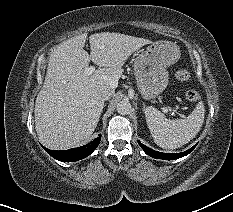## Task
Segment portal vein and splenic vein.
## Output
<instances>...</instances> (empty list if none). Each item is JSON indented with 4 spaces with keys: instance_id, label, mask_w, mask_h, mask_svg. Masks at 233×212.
<instances>
[{
    "instance_id": "1",
    "label": "portal vein and splenic vein",
    "mask_w": 233,
    "mask_h": 212,
    "mask_svg": "<svg viewBox=\"0 0 233 212\" xmlns=\"http://www.w3.org/2000/svg\"><path fill=\"white\" fill-rule=\"evenodd\" d=\"M94 71H95V67H94V66H90V67H87V68L85 69L84 72H85L87 75H91ZM169 109H170L169 107H163V108H162V111H163L164 113H167Z\"/></svg>"
}]
</instances>
